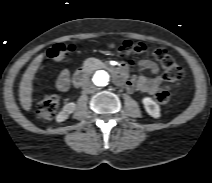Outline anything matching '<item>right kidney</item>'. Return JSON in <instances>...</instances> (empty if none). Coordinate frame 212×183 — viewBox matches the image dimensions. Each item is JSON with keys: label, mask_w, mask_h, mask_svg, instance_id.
<instances>
[{"label": "right kidney", "mask_w": 212, "mask_h": 183, "mask_svg": "<svg viewBox=\"0 0 212 183\" xmlns=\"http://www.w3.org/2000/svg\"><path fill=\"white\" fill-rule=\"evenodd\" d=\"M75 108L76 104L74 102L65 104L62 111L57 114L56 121L63 122L68 119L69 115L74 112Z\"/></svg>", "instance_id": "ca27d5eb"}]
</instances>
